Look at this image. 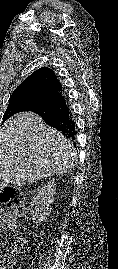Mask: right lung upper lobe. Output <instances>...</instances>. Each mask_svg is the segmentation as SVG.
<instances>
[{
  "label": "right lung upper lobe",
  "instance_id": "cb5924a9",
  "mask_svg": "<svg viewBox=\"0 0 118 269\" xmlns=\"http://www.w3.org/2000/svg\"><path fill=\"white\" fill-rule=\"evenodd\" d=\"M62 89V85L53 70L48 67H41L28 76L14 90L12 96L20 97L26 109L62 91Z\"/></svg>",
  "mask_w": 118,
  "mask_h": 269
}]
</instances>
